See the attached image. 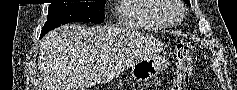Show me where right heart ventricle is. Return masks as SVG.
Segmentation results:
<instances>
[{
	"instance_id": "e07e8e85",
	"label": "right heart ventricle",
	"mask_w": 237,
	"mask_h": 90,
	"mask_svg": "<svg viewBox=\"0 0 237 90\" xmlns=\"http://www.w3.org/2000/svg\"><path fill=\"white\" fill-rule=\"evenodd\" d=\"M168 6H171V2L161 0H123V6L116 8L117 15H120L117 23L120 28L168 29L160 18L150 17L170 14Z\"/></svg>"
}]
</instances>
